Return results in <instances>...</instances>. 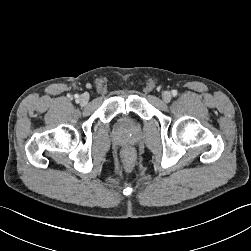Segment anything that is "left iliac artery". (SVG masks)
Listing matches in <instances>:
<instances>
[{"mask_svg": "<svg viewBox=\"0 0 251 251\" xmlns=\"http://www.w3.org/2000/svg\"><path fill=\"white\" fill-rule=\"evenodd\" d=\"M172 95L176 96L177 95V91L176 90H172Z\"/></svg>", "mask_w": 251, "mask_h": 251, "instance_id": "1", "label": "left iliac artery"}]
</instances>
